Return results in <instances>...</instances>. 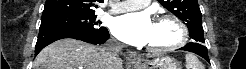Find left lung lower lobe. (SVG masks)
I'll use <instances>...</instances> for the list:
<instances>
[{
    "mask_svg": "<svg viewBox=\"0 0 246 69\" xmlns=\"http://www.w3.org/2000/svg\"><path fill=\"white\" fill-rule=\"evenodd\" d=\"M179 50H185V51L193 52V53L203 57L208 62H210V60L208 58L207 48L203 44L191 42V43L186 44L184 47L180 48Z\"/></svg>",
    "mask_w": 246,
    "mask_h": 69,
    "instance_id": "1",
    "label": "left lung lower lobe"
}]
</instances>
